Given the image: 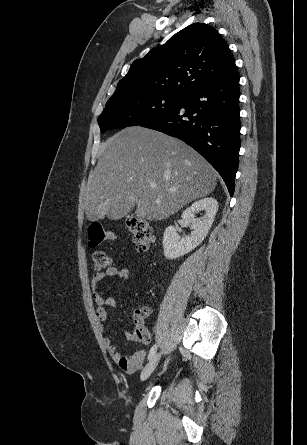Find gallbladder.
Returning <instances> with one entry per match:
<instances>
[{
  "mask_svg": "<svg viewBox=\"0 0 307 445\" xmlns=\"http://www.w3.org/2000/svg\"><path fill=\"white\" fill-rule=\"evenodd\" d=\"M129 201L130 198L128 196H124L119 203L114 204L111 211L107 212V217L110 218L112 222L127 218L129 213L134 211L135 207H137V202L135 200L128 203Z\"/></svg>",
  "mask_w": 307,
  "mask_h": 445,
  "instance_id": "obj_1",
  "label": "gallbladder"
}]
</instances>
